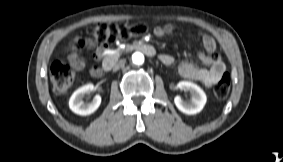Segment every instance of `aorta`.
Wrapping results in <instances>:
<instances>
[{
    "instance_id": "aorta-1",
    "label": "aorta",
    "mask_w": 283,
    "mask_h": 162,
    "mask_svg": "<svg viewBox=\"0 0 283 162\" xmlns=\"http://www.w3.org/2000/svg\"><path fill=\"white\" fill-rule=\"evenodd\" d=\"M132 62L135 65H142L144 63V55L140 52L133 53Z\"/></svg>"
}]
</instances>
